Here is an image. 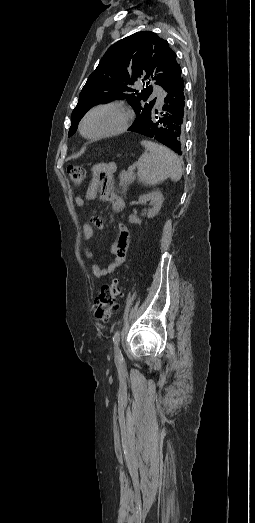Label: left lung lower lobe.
Listing matches in <instances>:
<instances>
[{"instance_id": "1", "label": "left lung lower lobe", "mask_w": 255, "mask_h": 523, "mask_svg": "<svg viewBox=\"0 0 255 523\" xmlns=\"http://www.w3.org/2000/svg\"><path fill=\"white\" fill-rule=\"evenodd\" d=\"M186 82L180 80L178 85L171 86L163 94V102L154 111H151V117L148 118L142 127H136L134 130L145 137H155L157 142L165 147H170L172 151L180 154L183 151L184 128V86Z\"/></svg>"}]
</instances>
